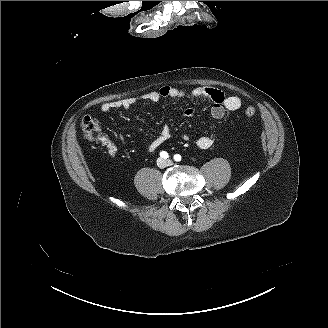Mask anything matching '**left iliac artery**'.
Returning <instances> with one entry per match:
<instances>
[{"instance_id":"obj_1","label":"left iliac artery","mask_w":328,"mask_h":328,"mask_svg":"<svg viewBox=\"0 0 328 328\" xmlns=\"http://www.w3.org/2000/svg\"><path fill=\"white\" fill-rule=\"evenodd\" d=\"M174 160L177 161V162L181 161V155L175 154L174 155Z\"/></svg>"}]
</instances>
